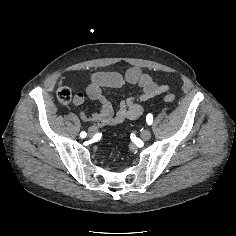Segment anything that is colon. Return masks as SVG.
Here are the masks:
<instances>
[{
	"label": "colon",
	"instance_id": "colon-1",
	"mask_svg": "<svg viewBox=\"0 0 236 236\" xmlns=\"http://www.w3.org/2000/svg\"><path fill=\"white\" fill-rule=\"evenodd\" d=\"M72 95L70 90L65 87L61 86L57 90V99L62 104H68L71 101ZM175 95L172 93H167L163 96V100L165 102H173L175 100Z\"/></svg>",
	"mask_w": 236,
	"mask_h": 236
}]
</instances>
